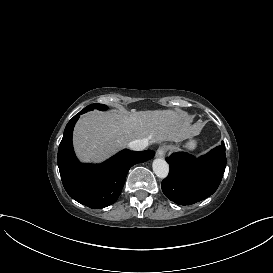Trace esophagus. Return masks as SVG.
Listing matches in <instances>:
<instances>
[{
    "label": "esophagus",
    "instance_id": "esophagus-1",
    "mask_svg": "<svg viewBox=\"0 0 273 273\" xmlns=\"http://www.w3.org/2000/svg\"><path fill=\"white\" fill-rule=\"evenodd\" d=\"M167 152V149L165 147H159L156 151V157L163 158Z\"/></svg>",
    "mask_w": 273,
    "mask_h": 273
}]
</instances>
